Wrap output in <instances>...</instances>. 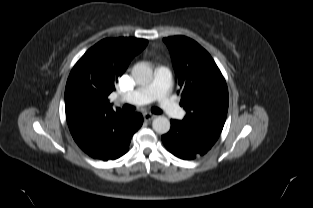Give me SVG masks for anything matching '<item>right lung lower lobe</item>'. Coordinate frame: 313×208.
Returning a JSON list of instances; mask_svg holds the SVG:
<instances>
[{
    "label": "right lung lower lobe",
    "instance_id": "98d812e1",
    "mask_svg": "<svg viewBox=\"0 0 313 208\" xmlns=\"http://www.w3.org/2000/svg\"><path fill=\"white\" fill-rule=\"evenodd\" d=\"M67 122L75 142L85 153L107 161L117 159L129 150L142 118L138 113L109 111L67 116Z\"/></svg>",
    "mask_w": 313,
    "mask_h": 208
}]
</instances>
